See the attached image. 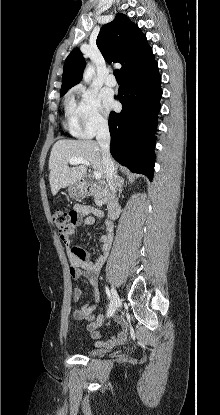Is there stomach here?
Returning <instances> with one entry per match:
<instances>
[{
	"mask_svg": "<svg viewBox=\"0 0 220 415\" xmlns=\"http://www.w3.org/2000/svg\"><path fill=\"white\" fill-rule=\"evenodd\" d=\"M86 192V186L81 182L71 185L68 188V193L72 198H81L86 194Z\"/></svg>",
	"mask_w": 220,
	"mask_h": 415,
	"instance_id": "1",
	"label": "stomach"
}]
</instances>
